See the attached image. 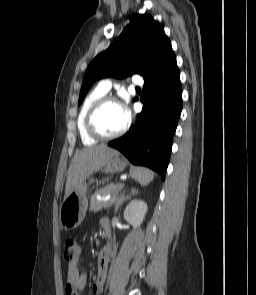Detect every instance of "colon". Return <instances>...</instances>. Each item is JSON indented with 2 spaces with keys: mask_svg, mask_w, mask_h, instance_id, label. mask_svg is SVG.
<instances>
[{
  "mask_svg": "<svg viewBox=\"0 0 256 295\" xmlns=\"http://www.w3.org/2000/svg\"><path fill=\"white\" fill-rule=\"evenodd\" d=\"M80 245L75 239L64 241L62 258L65 262H71L77 259L80 254Z\"/></svg>",
  "mask_w": 256,
  "mask_h": 295,
  "instance_id": "colon-1",
  "label": "colon"
}]
</instances>
